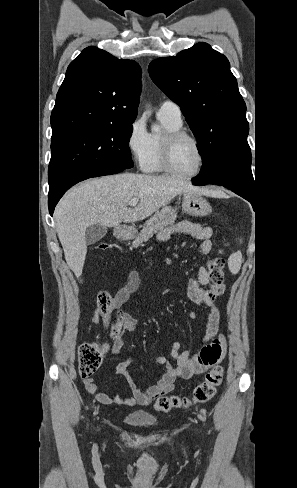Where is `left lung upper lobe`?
<instances>
[{"mask_svg": "<svg viewBox=\"0 0 297 488\" xmlns=\"http://www.w3.org/2000/svg\"><path fill=\"white\" fill-rule=\"evenodd\" d=\"M153 82L175 103L198 139L203 184L229 181L255 189L246 105L228 59L200 42L149 64Z\"/></svg>", "mask_w": 297, "mask_h": 488, "instance_id": "1", "label": "left lung upper lobe"}]
</instances>
